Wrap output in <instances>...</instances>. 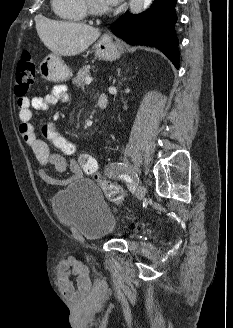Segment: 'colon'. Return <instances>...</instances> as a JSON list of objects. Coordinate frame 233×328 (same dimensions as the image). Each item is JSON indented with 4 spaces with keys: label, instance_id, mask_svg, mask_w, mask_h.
Returning <instances> with one entry per match:
<instances>
[{
    "label": "colon",
    "instance_id": "5ec220e1",
    "mask_svg": "<svg viewBox=\"0 0 233 328\" xmlns=\"http://www.w3.org/2000/svg\"><path fill=\"white\" fill-rule=\"evenodd\" d=\"M36 78V66L31 53L25 50L17 64L15 78V93L23 97L30 90ZM44 135L48 137L56 147L66 154H72L75 151L74 146L58 135L53 130L44 127ZM80 164L83 170L88 174H94L97 170L96 160L89 155L80 157ZM105 196L112 202L120 203L124 200V193L121 187L111 181L99 179Z\"/></svg>",
    "mask_w": 233,
    "mask_h": 328
}]
</instances>
